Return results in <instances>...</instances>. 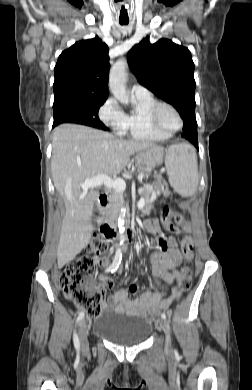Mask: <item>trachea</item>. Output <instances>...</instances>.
Listing matches in <instances>:
<instances>
[{"label":"trachea","instance_id":"1","mask_svg":"<svg viewBox=\"0 0 252 390\" xmlns=\"http://www.w3.org/2000/svg\"><path fill=\"white\" fill-rule=\"evenodd\" d=\"M121 25H126L129 22V19H119Z\"/></svg>","mask_w":252,"mask_h":390}]
</instances>
